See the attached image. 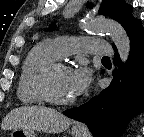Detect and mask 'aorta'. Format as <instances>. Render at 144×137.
Here are the masks:
<instances>
[{
  "label": "aorta",
  "instance_id": "aorta-1",
  "mask_svg": "<svg viewBox=\"0 0 144 137\" xmlns=\"http://www.w3.org/2000/svg\"><path fill=\"white\" fill-rule=\"evenodd\" d=\"M83 27L91 32H107L115 44L122 62L130 53V40L125 29L113 20H86Z\"/></svg>",
  "mask_w": 144,
  "mask_h": 137
}]
</instances>
